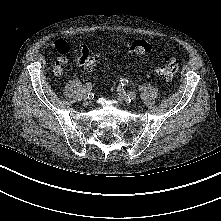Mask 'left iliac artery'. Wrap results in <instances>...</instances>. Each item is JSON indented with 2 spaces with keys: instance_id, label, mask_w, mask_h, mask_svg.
Wrapping results in <instances>:
<instances>
[{
  "instance_id": "left-iliac-artery-1",
  "label": "left iliac artery",
  "mask_w": 221,
  "mask_h": 221,
  "mask_svg": "<svg viewBox=\"0 0 221 221\" xmlns=\"http://www.w3.org/2000/svg\"><path fill=\"white\" fill-rule=\"evenodd\" d=\"M120 83L122 87H125L128 85V80L126 78H121Z\"/></svg>"
}]
</instances>
